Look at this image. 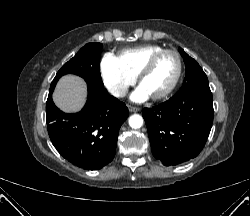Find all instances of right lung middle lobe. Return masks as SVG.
<instances>
[{"label": "right lung middle lobe", "instance_id": "obj_1", "mask_svg": "<svg viewBox=\"0 0 250 216\" xmlns=\"http://www.w3.org/2000/svg\"><path fill=\"white\" fill-rule=\"evenodd\" d=\"M101 50L102 44L100 43L86 44L58 71L51 87L55 88L59 78L65 74H75L82 77L87 84L104 87L100 75Z\"/></svg>", "mask_w": 250, "mask_h": 216}]
</instances>
